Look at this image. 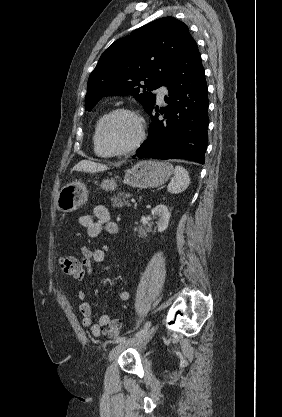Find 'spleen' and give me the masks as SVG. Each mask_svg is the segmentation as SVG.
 Wrapping results in <instances>:
<instances>
[{
	"mask_svg": "<svg viewBox=\"0 0 282 417\" xmlns=\"http://www.w3.org/2000/svg\"><path fill=\"white\" fill-rule=\"evenodd\" d=\"M175 176L171 178L168 184L169 192L172 194H177V192H182L190 184L189 172L183 166H175Z\"/></svg>",
	"mask_w": 282,
	"mask_h": 417,
	"instance_id": "1",
	"label": "spleen"
}]
</instances>
